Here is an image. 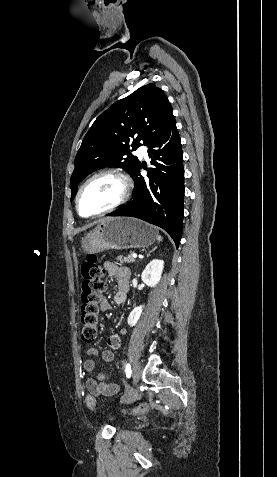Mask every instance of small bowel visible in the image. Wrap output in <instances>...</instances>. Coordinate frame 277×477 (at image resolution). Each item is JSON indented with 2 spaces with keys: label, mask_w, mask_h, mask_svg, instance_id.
Here are the masks:
<instances>
[{
  "label": "small bowel",
  "mask_w": 277,
  "mask_h": 477,
  "mask_svg": "<svg viewBox=\"0 0 277 477\" xmlns=\"http://www.w3.org/2000/svg\"><path fill=\"white\" fill-rule=\"evenodd\" d=\"M104 269L109 276H114L117 279V291L114 295V301L117 304L123 303L129 291V277L130 271L127 267L119 266L114 262H106ZM102 310L110 309L109 302L104 299L101 303ZM126 333L125 329H120L118 334H112L107 339L108 349L99 352L95 348H89L86 354L89 356H101V358L111 363L115 359L114 350L121 346V335ZM84 369L87 373L86 387L93 396H112L119 391V385L108 381V374L103 372H96V364L93 359L84 361Z\"/></svg>",
  "instance_id": "small-bowel-1"
}]
</instances>
